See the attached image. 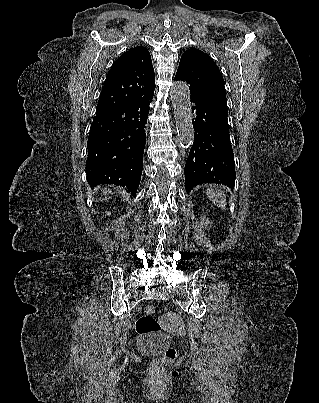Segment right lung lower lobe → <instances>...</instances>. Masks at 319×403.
Instances as JSON below:
<instances>
[{
    "label": "right lung lower lobe",
    "mask_w": 319,
    "mask_h": 403,
    "mask_svg": "<svg viewBox=\"0 0 319 403\" xmlns=\"http://www.w3.org/2000/svg\"><path fill=\"white\" fill-rule=\"evenodd\" d=\"M152 97L96 113L87 142L86 178L91 186L115 184L136 194L143 168L145 127Z\"/></svg>",
    "instance_id": "right-lung-lower-lobe-1"
}]
</instances>
